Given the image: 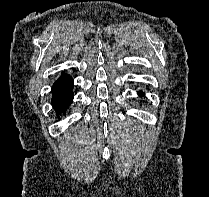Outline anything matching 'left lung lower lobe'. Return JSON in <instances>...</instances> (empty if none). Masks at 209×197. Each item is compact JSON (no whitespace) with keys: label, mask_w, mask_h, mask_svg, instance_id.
Here are the masks:
<instances>
[{"label":"left lung lower lobe","mask_w":209,"mask_h":197,"mask_svg":"<svg viewBox=\"0 0 209 197\" xmlns=\"http://www.w3.org/2000/svg\"><path fill=\"white\" fill-rule=\"evenodd\" d=\"M139 95L143 96L144 94L140 92Z\"/></svg>","instance_id":"obj_1"}]
</instances>
